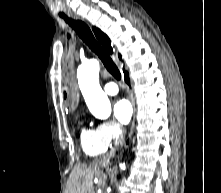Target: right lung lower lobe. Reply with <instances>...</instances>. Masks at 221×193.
<instances>
[{"label": "right lung lower lobe", "mask_w": 221, "mask_h": 193, "mask_svg": "<svg viewBox=\"0 0 221 193\" xmlns=\"http://www.w3.org/2000/svg\"><path fill=\"white\" fill-rule=\"evenodd\" d=\"M124 77H125L126 83H127V84H130V80H129V76H128V73H127V72L124 73Z\"/></svg>", "instance_id": "obj_1"}]
</instances>
